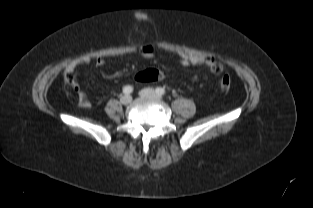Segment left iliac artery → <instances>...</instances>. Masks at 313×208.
<instances>
[{
  "label": "left iliac artery",
  "mask_w": 313,
  "mask_h": 208,
  "mask_svg": "<svg viewBox=\"0 0 313 208\" xmlns=\"http://www.w3.org/2000/svg\"><path fill=\"white\" fill-rule=\"evenodd\" d=\"M155 91L159 95H164L165 94V89L161 88V87H157Z\"/></svg>",
  "instance_id": "44dca946"
}]
</instances>
